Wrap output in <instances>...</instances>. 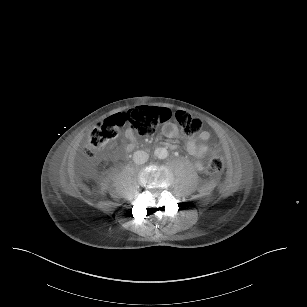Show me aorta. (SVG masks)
Masks as SVG:
<instances>
[{
	"label": "aorta",
	"mask_w": 307,
	"mask_h": 307,
	"mask_svg": "<svg viewBox=\"0 0 307 307\" xmlns=\"http://www.w3.org/2000/svg\"><path fill=\"white\" fill-rule=\"evenodd\" d=\"M156 155L160 159H166L169 156L168 150L166 148H159L156 151Z\"/></svg>",
	"instance_id": "762f6f07"
}]
</instances>
